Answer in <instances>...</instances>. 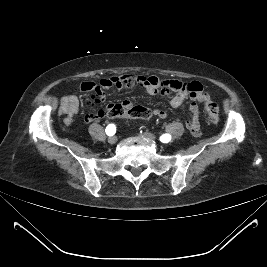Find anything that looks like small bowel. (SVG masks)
<instances>
[{
    "instance_id": "1",
    "label": "small bowel",
    "mask_w": 267,
    "mask_h": 267,
    "mask_svg": "<svg viewBox=\"0 0 267 267\" xmlns=\"http://www.w3.org/2000/svg\"><path fill=\"white\" fill-rule=\"evenodd\" d=\"M135 85L142 87L148 94L160 93L169 97V104L173 108L180 107L186 99H190L192 103L189 106L190 119L186 122V127L194 136L200 134V110L198 103L207 102L210 96L204 90L203 85L198 81L182 82L172 79H161L156 76H134L125 74L111 78L101 79L98 82L86 81L82 83L81 89L90 93V97L86 104L93 107L105 100L104 89L116 87L118 89H128ZM174 93L173 95H171ZM80 101L75 95H67L61 99L59 114L64 116V123L69 125L80 110ZM127 109L132 106L131 102L124 100L118 104H109L104 109L96 112L89 111L84 118L87 122H93L97 119L108 115L115 107ZM152 114L160 119H165L167 113L159 108H155Z\"/></svg>"
}]
</instances>
